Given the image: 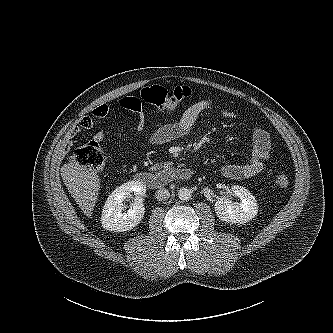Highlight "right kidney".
<instances>
[{"mask_svg": "<svg viewBox=\"0 0 333 333\" xmlns=\"http://www.w3.org/2000/svg\"><path fill=\"white\" fill-rule=\"evenodd\" d=\"M134 193L136 203L127 211L123 201ZM146 186L139 181H129L116 188L107 198L101 216L103 228L114 232H124L136 227L144 217L143 197Z\"/></svg>", "mask_w": 333, "mask_h": 333, "instance_id": "ca27d5eb", "label": "right kidney"}]
</instances>
